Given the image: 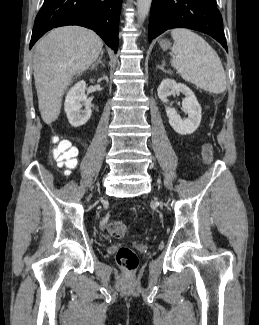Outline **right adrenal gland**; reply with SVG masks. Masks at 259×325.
<instances>
[{"label": "right adrenal gland", "instance_id": "obj_1", "mask_svg": "<svg viewBox=\"0 0 259 325\" xmlns=\"http://www.w3.org/2000/svg\"><path fill=\"white\" fill-rule=\"evenodd\" d=\"M103 54H104V52L102 51L101 52V55H100V57L98 59V61L91 65V70L96 69L99 64H101L102 66H104V64L102 62Z\"/></svg>", "mask_w": 259, "mask_h": 325}]
</instances>
